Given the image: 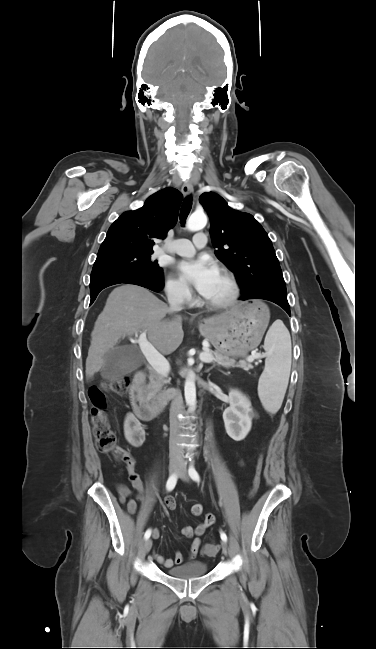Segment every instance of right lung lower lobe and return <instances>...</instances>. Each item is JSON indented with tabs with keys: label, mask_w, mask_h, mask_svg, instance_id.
<instances>
[{
	"label": "right lung lower lobe",
	"mask_w": 376,
	"mask_h": 649,
	"mask_svg": "<svg viewBox=\"0 0 376 649\" xmlns=\"http://www.w3.org/2000/svg\"><path fill=\"white\" fill-rule=\"evenodd\" d=\"M119 283L135 284L159 292L164 286L163 273L152 275L145 272L110 270L93 275L90 281L91 304L102 289Z\"/></svg>",
	"instance_id": "right-lung-lower-lobe-1"
}]
</instances>
